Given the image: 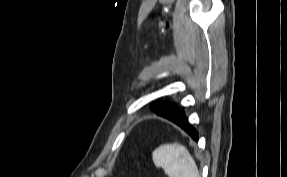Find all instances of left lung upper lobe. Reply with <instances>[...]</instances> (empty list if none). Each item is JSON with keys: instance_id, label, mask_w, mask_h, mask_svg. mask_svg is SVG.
<instances>
[{"instance_id": "1", "label": "left lung upper lobe", "mask_w": 287, "mask_h": 177, "mask_svg": "<svg viewBox=\"0 0 287 177\" xmlns=\"http://www.w3.org/2000/svg\"><path fill=\"white\" fill-rule=\"evenodd\" d=\"M150 109L162 117L173 115L179 111L176 106L169 102L154 103L150 106Z\"/></svg>"}]
</instances>
